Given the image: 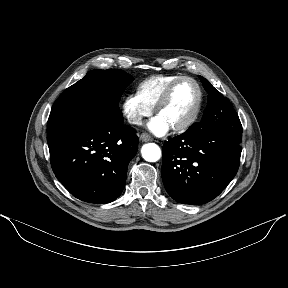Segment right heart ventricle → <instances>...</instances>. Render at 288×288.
Here are the masks:
<instances>
[{
	"label": "right heart ventricle",
	"instance_id": "right-heart-ventricle-1",
	"mask_svg": "<svg viewBox=\"0 0 288 288\" xmlns=\"http://www.w3.org/2000/svg\"><path fill=\"white\" fill-rule=\"evenodd\" d=\"M179 75H152L140 81L136 87L137 97L147 106L154 108L166 87Z\"/></svg>",
	"mask_w": 288,
	"mask_h": 288
}]
</instances>
